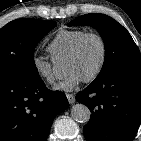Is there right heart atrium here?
Here are the masks:
<instances>
[{"label": "right heart atrium", "instance_id": "1", "mask_svg": "<svg viewBox=\"0 0 141 141\" xmlns=\"http://www.w3.org/2000/svg\"><path fill=\"white\" fill-rule=\"evenodd\" d=\"M32 65L37 75L46 83L53 84L56 81V74L51 59L35 54L32 57Z\"/></svg>", "mask_w": 141, "mask_h": 141}]
</instances>
